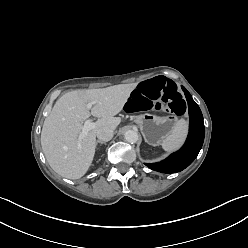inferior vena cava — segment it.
Returning a JSON list of instances; mask_svg holds the SVG:
<instances>
[{
    "mask_svg": "<svg viewBox=\"0 0 248 248\" xmlns=\"http://www.w3.org/2000/svg\"><path fill=\"white\" fill-rule=\"evenodd\" d=\"M114 135V131L110 127H102L97 130L96 136L100 141H110Z\"/></svg>",
    "mask_w": 248,
    "mask_h": 248,
    "instance_id": "inferior-vena-cava-1",
    "label": "inferior vena cava"
}]
</instances>
